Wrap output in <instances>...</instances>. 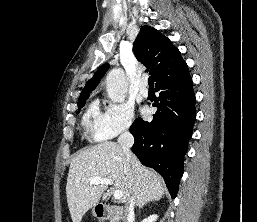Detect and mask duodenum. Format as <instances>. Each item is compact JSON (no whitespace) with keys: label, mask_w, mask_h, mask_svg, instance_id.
<instances>
[{"label":"duodenum","mask_w":257,"mask_h":222,"mask_svg":"<svg viewBox=\"0 0 257 222\" xmlns=\"http://www.w3.org/2000/svg\"><path fill=\"white\" fill-rule=\"evenodd\" d=\"M95 212L98 218L105 219L109 216L120 217L123 210L122 207L118 205L99 204L96 206Z\"/></svg>","instance_id":"410a0bca"}]
</instances>
